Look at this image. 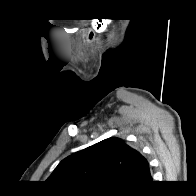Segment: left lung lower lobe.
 I'll list each match as a JSON object with an SVG mask.
<instances>
[{"instance_id": "0a47b994", "label": "left lung lower lobe", "mask_w": 196, "mask_h": 196, "mask_svg": "<svg viewBox=\"0 0 196 196\" xmlns=\"http://www.w3.org/2000/svg\"><path fill=\"white\" fill-rule=\"evenodd\" d=\"M151 181H152V178H151V174H150L149 177H148V179H147V181H146V183H149Z\"/></svg>"}]
</instances>
